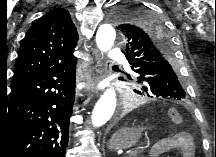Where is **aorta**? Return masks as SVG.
Returning <instances> with one entry per match:
<instances>
[{
    "label": "aorta",
    "instance_id": "aorta-1",
    "mask_svg": "<svg viewBox=\"0 0 216 157\" xmlns=\"http://www.w3.org/2000/svg\"><path fill=\"white\" fill-rule=\"evenodd\" d=\"M115 38L116 32L111 24H103L98 28L96 43L102 52L111 49ZM116 101L115 90L108 88L93 109L91 115V124L93 127H101L111 119L116 109Z\"/></svg>",
    "mask_w": 216,
    "mask_h": 157
}]
</instances>
